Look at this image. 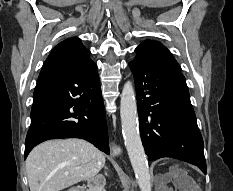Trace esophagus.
<instances>
[{
  "label": "esophagus",
  "mask_w": 233,
  "mask_h": 191,
  "mask_svg": "<svg viewBox=\"0 0 233 191\" xmlns=\"http://www.w3.org/2000/svg\"><path fill=\"white\" fill-rule=\"evenodd\" d=\"M114 155H118V152H114Z\"/></svg>",
  "instance_id": "34e87169"
}]
</instances>
